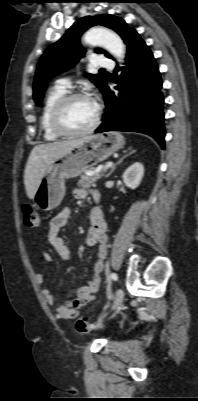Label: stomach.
<instances>
[{"instance_id": "stomach-1", "label": "stomach", "mask_w": 198, "mask_h": 401, "mask_svg": "<svg viewBox=\"0 0 198 401\" xmlns=\"http://www.w3.org/2000/svg\"><path fill=\"white\" fill-rule=\"evenodd\" d=\"M125 144L123 135L111 131L88 136L84 143L55 159L49 166L35 193L39 209L50 211L65 196V179L81 175L89 167L110 157Z\"/></svg>"}]
</instances>
